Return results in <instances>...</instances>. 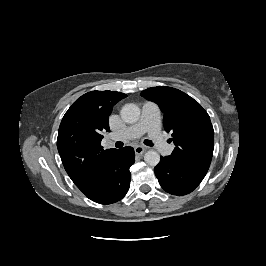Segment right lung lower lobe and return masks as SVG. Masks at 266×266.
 I'll use <instances>...</instances> for the list:
<instances>
[{
    "label": "right lung lower lobe",
    "instance_id": "98d812e1",
    "mask_svg": "<svg viewBox=\"0 0 266 266\" xmlns=\"http://www.w3.org/2000/svg\"><path fill=\"white\" fill-rule=\"evenodd\" d=\"M134 162L135 153L132 147L117 149L98 185L86 196L99 204H112L121 200L129 189L131 179L129 168Z\"/></svg>",
    "mask_w": 266,
    "mask_h": 266
}]
</instances>
